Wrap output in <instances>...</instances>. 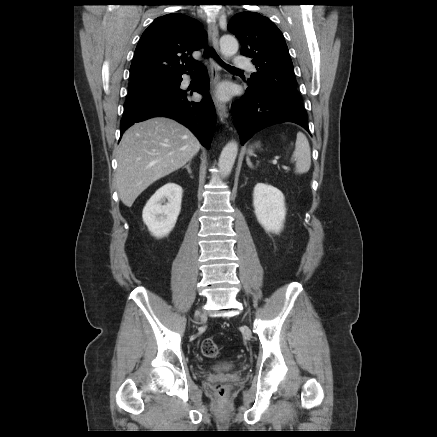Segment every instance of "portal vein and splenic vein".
Listing matches in <instances>:
<instances>
[{"label":"portal vein and splenic vein","mask_w":437,"mask_h":437,"mask_svg":"<svg viewBox=\"0 0 437 437\" xmlns=\"http://www.w3.org/2000/svg\"><path fill=\"white\" fill-rule=\"evenodd\" d=\"M272 163H273V164H277V161L274 160V161H272ZM283 168H285L286 170L288 169L287 167H283Z\"/></svg>","instance_id":"portal-vein-and-splenic-vein-1"}]
</instances>
